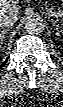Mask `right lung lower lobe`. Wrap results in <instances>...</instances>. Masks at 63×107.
<instances>
[{"mask_svg":"<svg viewBox=\"0 0 63 107\" xmlns=\"http://www.w3.org/2000/svg\"><path fill=\"white\" fill-rule=\"evenodd\" d=\"M7 60H8V59H6V61H7ZM6 61H5V62H6ZM5 62H4L1 66H3V65L5 64Z\"/></svg>","mask_w":63,"mask_h":107,"instance_id":"obj_1","label":"right lung lower lobe"}]
</instances>
